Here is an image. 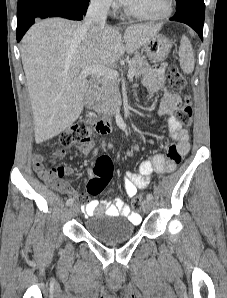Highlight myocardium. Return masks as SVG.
Listing matches in <instances>:
<instances>
[{"instance_id":"1","label":"myocardium","mask_w":227,"mask_h":298,"mask_svg":"<svg viewBox=\"0 0 227 298\" xmlns=\"http://www.w3.org/2000/svg\"><path fill=\"white\" fill-rule=\"evenodd\" d=\"M173 6L174 2L173 0H166V6L163 12L157 14V15H142L135 13L131 11L126 5L123 8L124 14L132 19L138 20V21H151V22H156V21H162L167 19L168 17L171 16L173 12Z\"/></svg>"}]
</instances>
